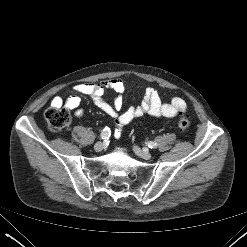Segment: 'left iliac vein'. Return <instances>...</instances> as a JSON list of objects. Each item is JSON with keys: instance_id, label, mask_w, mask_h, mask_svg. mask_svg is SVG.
<instances>
[{"instance_id": "1", "label": "left iliac vein", "mask_w": 247, "mask_h": 247, "mask_svg": "<svg viewBox=\"0 0 247 247\" xmlns=\"http://www.w3.org/2000/svg\"><path fill=\"white\" fill-rule=\"evenodd\" d=\"M134 151L135 153L140 156L141 158L145 159V160H149L151 158V154L149 153L148 150L146 149H141L138 146H134Z\"/></svg>"}]
</instances>
